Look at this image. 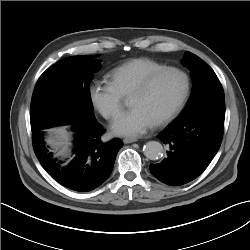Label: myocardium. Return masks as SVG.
<instances>
[{"mask_svg":"<svg viewBox=\"0 0 250 250\" xmlns=\"http://www.w3.org/2000/svg\"><path fill=\"white\" fill-rule=\"evenodd\" d=\"M166 73H177V74L181 75L184 79V90H183V93H182L180 99L176 103V105L166 115H164L162 118H160L158 121L155 122V124L157 126H162V125L169 123L171 120H173L181 112V110L185 106V104L188 100L189 94H190V90H191V80H190L188 73L185 70L178 68V67L161 68L159 70L152 72L147 77H145L142 80V82L134 89V91L131 94V95L143 94V93L147 92L150 89V87L153 85V83L160 76H162Z\"/></svg>","mask_w":250,"mask_h":250,"instance_id":"1","label":"myocardium"}]
</instances>
